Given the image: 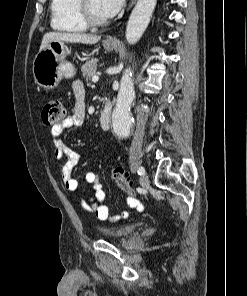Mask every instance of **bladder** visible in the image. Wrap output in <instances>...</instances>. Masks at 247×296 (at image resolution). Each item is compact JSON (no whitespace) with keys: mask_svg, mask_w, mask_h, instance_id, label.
I'll use <instances>...</instances> for the list:
<instances>
[{"mask_svg":"<svg viewBox=\"0 0 247 296\" xmlns=\"http://www.w3.org/2000/svg\"><path fill=\"white\" fill-rule=\"evenodd\" d=\"M138 227H139L138 223H130L125 225L102 227L99 229V232L109 238L118 239V238L126 237L127 235L131 234Z\"/></svg>","mask_w":247,"mask_h":296,"instance_id":"bladder-1","label":"bladder"}]
</instances>
